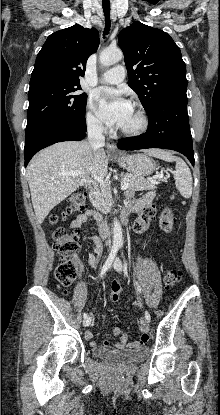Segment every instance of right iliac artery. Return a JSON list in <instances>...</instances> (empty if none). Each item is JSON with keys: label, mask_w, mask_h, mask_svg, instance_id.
<instances>
[{"label": "right iliac artery", "mask_w": 220, "mask_h": 415, "mask_svg": "<svg viewBox=\"0 0 220 415\" xmlns=\"http://www.w3.org/2000/svg\"><path fill=\"white\" fill-rule=\"evenodd\" d=\"M118 248H119L118 245H113L112 246L111 252H110L105 264L103 265V267L101 269V273H100V276H99L100 278H102L103 275L106 273V271L111 267V265L114 261V258H115L116 254L118 252ZM87 317H88L87 313H84L83 318L86 319Z\"/></svg>", "instance_id": "82829eb1"}]
</instances>
